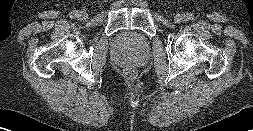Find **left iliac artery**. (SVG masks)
Wrapping results in <instances>:
<instances>
[{
	"label": "left iliac artery",
	"mask_w": 253,
	"mask_h": 131,
	"mask_svg": "<svg viewBox=\"0 0 253 131\" xmlns=\"http://www.w3.org/2000/svg\"><path fill=\"white\" fill-rule=\"evenodd\" d=\"M193 19H194V15L192 13H187L186 14V18H185L186 21H190V20H193Z\"/></svg>",
	"instance_id": "left-iliac-artery-1"
}]
</instances>
